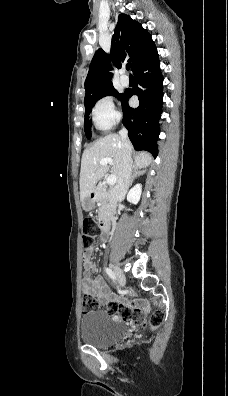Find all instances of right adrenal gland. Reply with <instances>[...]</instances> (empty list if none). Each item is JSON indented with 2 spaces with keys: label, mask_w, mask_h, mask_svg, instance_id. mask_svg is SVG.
<instances>
[{
  "label": "right adrenal gland",
  "mask_w": 228,
  "mask_h": 396,
  "mask_svg": "<svg viewBox=\"0 0 228 396\" xmlns=\"http://www.w3.org/2000/svg\"><path fill=\"white\" fill-rule=\"evenodd\" d=\"M145 170H139L136 166H133V174L131 176L130 186L132 185L135 178L143 175Z\"/></svg>",
  "instance_id": "1"
}]
</instances>
